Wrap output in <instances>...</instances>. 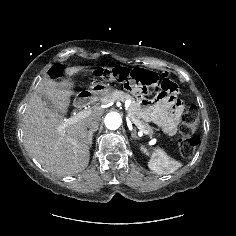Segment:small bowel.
<instances>
[{"label":"small bowel","mask_w":236,"mask_h":236,"mask_svg":"<svg viewBox=\"0 0 236 236\" xmlns=\"http://www.w3.org/2000/svg\"><path fill=\"white\" fill-rule=\"evenodd\" d=\"M162 80L170 81L167 74L162 75ZM142 106L143 115L147 120L155 123L168 135L176 133L182 108L175 100H171L166 94H161L156 101H145Z\"/></svg>","instance_id":"small-bowel-1"}]
</instances>
